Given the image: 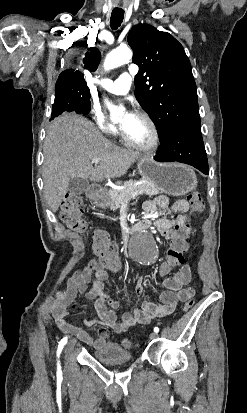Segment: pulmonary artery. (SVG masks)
Wrapping results in <instances>:
<instances>
[{"label":"pulmonary artery","instance_id":"e3ab8cb5","mask_svg":"<svg viewBox=\"0 0 247 413\" xmlns=\"http://www.w3.org/2000/svg\"><path fill=\"white\" fill-rule=\"evenodd\" d=\"M133 81L134 77L131 74L124 72L115 80L103 78L97 80L96 83L110 93L125 94L130 90Z\"/></svg>","mask_w":247,"mask_h":413}]
</instances>
